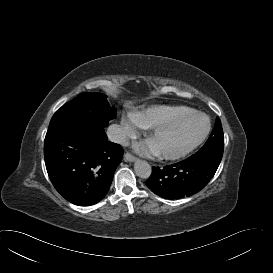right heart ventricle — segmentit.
I'll return each instance as SVG.
<instances>
[{
	"label": "right heart ventricle",
	"instance_id": "e07e8e85",
	"mask_svg": "<svg viewBox=\"0 0 273 273\" xmlns=\"http://www.w3.org/2000/svg\"><path fill=\"white\" fill-rule=\"evenodd\" d=\"M186 106H156L147 112H135L133 118L137 124L144 128H154L156 126L169 123L176 118L190 112Z\"/></svg>",
	"mask_w": 273,
	"mask_h": 273
}]
</instances>
